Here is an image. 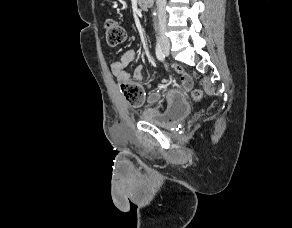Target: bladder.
I'll return each instance as SVG.
<instances>
[{"instance_id": "bladder-1", "label": "bladder", "mask_w": 292, "mask_h": 228, "mask_svg": "<svg viewBox=\"0 0 292 228\" xmlns=\"http://www.w3.org/2000/svg\"><path fill=\"white\" fill-rule=\"evenodd\" d=\"M189 111L190 106L188 102L183 100L173 105L167 112L163 114L146 115L143 117V120L159 127H168L187 116Z\"/></svg>"}]
</instances>
